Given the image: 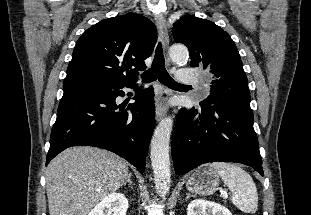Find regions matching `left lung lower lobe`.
Segmentation results:
<instances>
[{
    "label": "left lung lower lobe",
    "mask_w": 311,
    "mask_h": 215,
    "mask_svg": "<svg viewBox=\"0 0 311 215\" xmlns=\"http://www.w3.org/2000/svg\"><path fill=\"white\" fill-rule=\"evenodd\" d=\"M250 105L218 101L179 111L172 139L177 174L214 161L239 162L263 176Z\"/></svg>",
    "instance_id": "1"
}]
</instances>
